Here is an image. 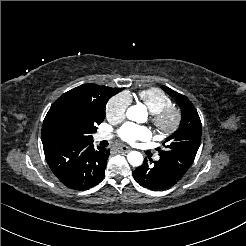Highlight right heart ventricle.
<instances>
[{
    "label": "right heart ventricle",
    "mask_w": 246,
    "mask_h": 246,
    "mask_svg": "<svg viewBox=\"0 0 246 246\" xmlns=\"http://www.w3.org/2000/svg\"><path fill=\"white\" fill-rule=\"evenodd\" d=\"M137 97L150 113H157L164 108L173 106L171 97L162 89L157 87H150L141 90L137 94Z\"/></svg>",
    "instance_id": "e07e8e85"
}]
</instances>
